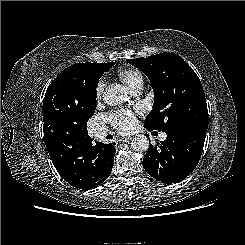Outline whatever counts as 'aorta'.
I'll return each instance as SVG.
<instances>
[{
	"instance_id": "1",
	"label": "aorta",
	"mask_w": 245,
	"mask_h": 245,
	"mask_svg": "<svg viewBox=\"0 0 245 245\" xmlns=\"http://www.w3.org/2000/svg\"><path fill=\"white\" fill-rule=\"evenodd\" d=\"M126 99V89L119 84L111 85L103 94V100L109 106L120 105ZM131 147L134 151H146L149 148V140L145 135H137L132 139Z\"/></svg>"
}]
</instances>
